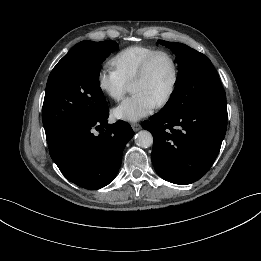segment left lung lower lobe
I'll list each match as a JSON object with an SVG mask.
<instances>
[{"instance_id": "left-lung-lower-lobe-1", "label": "left lung lower lobe", "mask_w": 261, "mask_h": 261, "mask_svg": "<svg viewBox=\"0 0 261 261\" xmlns=\"http://www.w3.org/2000/svg\"><path fill=\"white\" fill-rule=\"evenodd\" d=\"M153 135L152 162L166 181L185 185L200 179L215 161L227 128L226 102L184 114L161 110L143 123Z\"/></svg>"}]
</instances>
